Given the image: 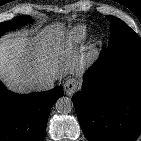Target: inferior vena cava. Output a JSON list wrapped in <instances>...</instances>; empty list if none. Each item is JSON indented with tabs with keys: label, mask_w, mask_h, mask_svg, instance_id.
I'll return each mask as SVG.
<instances>
[{
	"label": "inferior vena cava",
	"mask_w": 141,
	"mask_h": 141,
	"mask_svg": "<svg viewBox=\"0 0 141 141\" xmlns=\"http://www.w3.org/2000/svg\"><path fill=\"white\" fill-rule=\"evenodd\" d=\"M55 78L51 76L43 77L35 81L34 89L36 91H46L54 87Z\"/></svg>",
	"instance_id": "1"
}]
</instances>
